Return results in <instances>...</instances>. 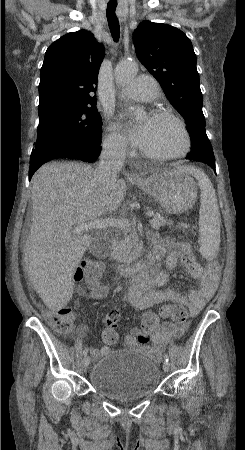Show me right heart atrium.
<instances>
[{
	"label": "right heart atrium",
	"mask_w": 245,
	"mask_h": 450,
	"mask_svg": "<svg viewBox=\"0 0 245 450\" xmlns=\"http://www.w3.org/2000/svg\"><path fill=\"white\" fill-rule=\"evenodd\" d=\"M104 145L110 152L121 155L127 150V141L116 129L110 128L104 140Z\"/></svg>",
	"instance_id": "1"
}]
</instances>
